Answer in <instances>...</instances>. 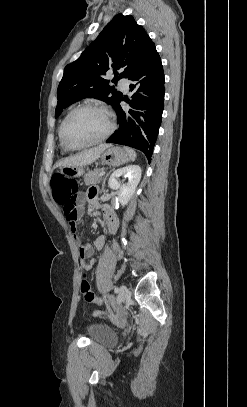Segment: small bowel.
I'll return each instance as SVG.
<instances>
[{
  "instance_id": "c3829d8e",
  "label": "small bowel",
  "mask_w": 247,
  "mask_h": 407,
  "mask_svg": "<svg viewBox=\"0 0 247 407\" xmlns=\"http://www.w3.org/2000/svg\"><path fill=\"white\" fill-rule=\"evenodd\" d=\"M96 196H97V190L95 188H90L87 192L82 193V194H76L74 197L71 199L59 203L62 208L63 215L76 239H78L77 236V223L79 219L81 218L83 214V206L85 201H88L91 203L92 206H96ZM101 212L103 215L104 222L108 228V231L111 234L116 233L118 230V219L116 217V214L114 210L112 209L111 206L109 205H103L101 207ZM105 245V237L104 236H99L95 239L94 241V247L97 250H101ZM93 248L90 244L84 243L81 244L79 247V256L81 259V267L85 271H89L92 269L94 265V260L89 259L90 256L92 255Z\"/></svg>"
}]
</instances>
